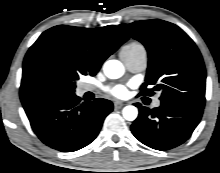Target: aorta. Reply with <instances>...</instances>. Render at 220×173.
Returning <instances> with one entry per match:
<instances>
[{
  "mask_svg": "<svg viewBox=\"0 0 220 173\" xmlns=\"http://www.w3.org/2000/svg\"><path fill=\"white\" fill-rule=\"evenodd\" d=\"M105 75L110 79L120 78L124 74V67L118 60H109L103 67ZM123 117L128 121H134L138 116V110L135 106L128 105L122 110Z\"/></svg>",
  "mask_w": 220,
  "mask_h": 173,
  "instance_id": "aorta-1",
  "label": "aorta"
}]
</instances>
